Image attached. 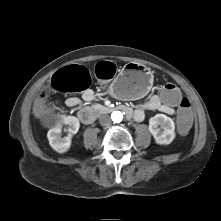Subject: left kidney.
<instances>
[{
	"label": "left kidney",
	"mask_w": 221,
	"mask_h": 221,
	"mask_svg": "<svg viewBox=\"0 0 221 221\" xmlns=\"http://www.w3.org/2000/svg\"><path fill=\"white\" fill-rule=\"evenodd\" d=\"M149 131L158 144L168 145L175 138L174 122L164 114H156L149 119Z\"/></svg>",
	"instance_id": "obj_1"
}]
</instances>
